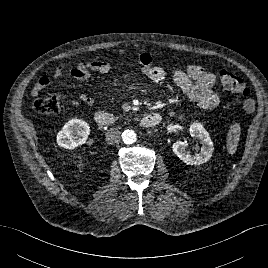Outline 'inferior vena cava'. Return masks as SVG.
<instances>
[{
  "instance_id": "obj_1",
  "label": "inferior vena cava",
  "mask_w": 268,
  "mask_h": 268,
  "mask_svg": "<svg viewBox=\"0 0 268 268\" xmlns=\"http://www.w3.org/2000/svg\"><path fill=\"white\" fill-rule=\"evenodd\" d=\"M121 138V133L116 128H111L106 132V140L109 144L118 143Z\"/></svg>"
}]
</instances>
